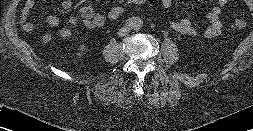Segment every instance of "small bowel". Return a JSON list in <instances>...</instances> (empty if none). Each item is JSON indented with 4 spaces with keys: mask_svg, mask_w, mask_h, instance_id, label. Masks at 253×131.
<instances>
[{
    "mask_svg": "<svg viewBox=\"0 0 253 131\" xmlns=\"http://www.w3.org/2000/svg\"><path fill=\"white\" fill-rule=\"evenodd\" d=\"M164 8H169L172 5L173 0H160ZM230 0H217V5H215L206 14V19L208 21V26L203 30H199L191 21L187 18L180 20H172L169 22V26L183 34L188 36H202L204 38H214L220 35L222 31L221 13L222 8L226 6ZM36 0H26L22 9L20 25L22 29L27 33H32L34 31L33 23L30 20V13L35 6ZM74 6L72 0H63L61 2V7L64 10H70ZM106 16L104 14L96 12L93 7L89 5L82 6L79 9L77 15L70 18L69 23L72 26H77L82 24L88 29L100 28L106 23ZM46 24L49 27L55 28L59 25V18L55 15H49L45 19ZM59 35L63 39H70L72 37V31L68 27H62L59 30ZM51 34L44 33L41 36L42 42L50 41Z\"/></svg>",
    "mask_w": 253,
    "mask_h": 131,
    "instance_id": "obj_1",
    "label": "small bowel"
}]
</instances>
